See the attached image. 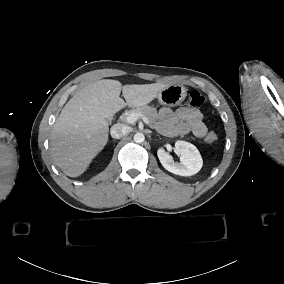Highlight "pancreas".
<instances>
[{
    "label": "pancreas",
    "mask_w": 284,
    "mask_h": 284,
    "mask_svg": "<svg viewBox=\"0 0 284 284\" xmlns=\"http://www.w3.org/2000/svg\"><path fill=\"white\" fill-rule=\"evenodd\" d=\"M132 113L142 114L145 117H147L148 121L150 122V127L151 128H154L156 120L158 119V114H157L156 109L152 108V107H150L148 105H144V106L136 107V108H134L132 110L127 111L126 113H124L121 116V120L125 121L126 117L128 115L132 114Z\"/></svg>",
    "instance_id": "cf45deb5"
}]
</instances>
